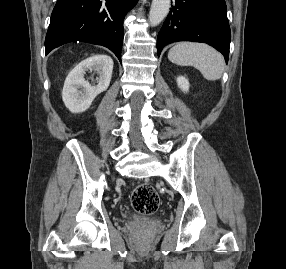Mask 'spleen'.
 Masks as SVG:
<instances>
[{"label":"spleen","instance_id":"3e777b00","mask_svg":"<svg viewBox=\"0 0 286 269\" xmlns=\"http://www.w3.org/2000/svg\"><path fill=\"white\" fill-rule=\"evenodd\" d=\"M168 59L177 65L195 67L209 81L220 79L225 65L223 56L203 43H178L169 50Z\"/></svg>","mask_w":286,"mask_h":269}]
</instances>
